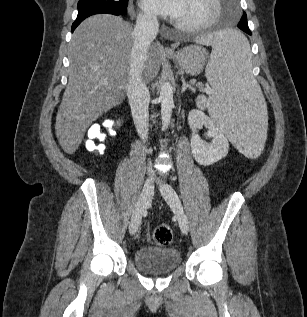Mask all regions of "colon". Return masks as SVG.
Here are the masks:
<instances>
[{
  "instance_id": "colon-1",
  "label": "colon",
  "mask_w": 307,
  "mask_h": 317,
  "mask_svg": "<svg viewBox=\"0 0 307 317\" xmlns=\"http://www.w3.org/2000/svg\"><path fill=\"white\" fill-rule=\"evenodd\" d=\"M113 125L112 120H107L91 126L86 141L88 151L96 154H102L105 151L104 141L109 134L114 133ZM153 240L159 246L170 245L173 241L172 229L166 224L158 225L153 231Z\"/></svg>"
}]
</instances>
